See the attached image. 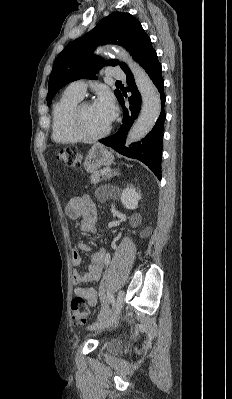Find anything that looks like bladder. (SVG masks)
Instances as JSON below:
<instances>
[{
  "mask_svg": "<svg viewBox=\"0 0 232 399\" xmlns=\"http://www.w3.org/2000/svg\"><path fill=\"white\" fill-rule=\"evenodd\" d=\"M107 349L108 350H114L115 349V345L113 344V343H109L108 345H107Z\"/></svg>",
  "mask_w": 232,
  "mask_h": 399,
  "instance_id": "31cf9c89",
  "label": "bladder"
}]
</instances>
